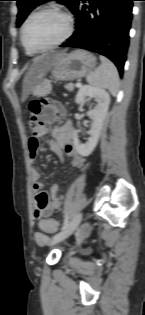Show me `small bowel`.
Instances as JSON below:
<instances>
[{"instance_id":"obj_1","label":"small bowel","mask_w":145,"mask_h":315,"mask_svg":"<svg viewBox=\"0 0 145 315\" xmlns=\"http://www.w3.org/2000/svg\"><path fill=\"white\" fill-rule=\"evenodd\" d=\"M57 105L55 103H52ZM47 132L45 128H37L33 137H27V147H29V155L33 160L37 156L38 147L41 146L40 137ZM52 140L50 142L51 150L61 159L69 157L71 165L82 171L86 170L87 164L84 157L76 150L74 145L73 126L70 122L64 123L62 126L55 127L51 130ZM32 189L36 194V207L34 208V218L43 219L49 217L53 212L60 208L61 199L59 197V185L53 184L49 189V197L46 191L41 190L40 173L36 168L31 169ZM44 221V220H43ZM42 221V222H43ZM35 241L40 245L49 242L48 236L44 232H37L34 235Z\"/></svg>"}]
</instances>
